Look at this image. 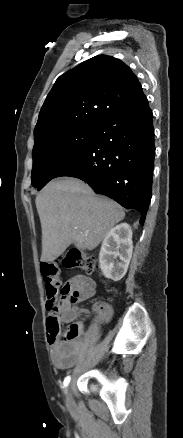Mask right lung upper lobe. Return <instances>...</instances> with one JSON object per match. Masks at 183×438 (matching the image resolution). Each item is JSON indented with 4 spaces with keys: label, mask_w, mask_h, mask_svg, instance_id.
Segmentation results:
<instances>
[{
    "label": "right lung upper lobe",
    "mask_w": 183,
    "mask_h": 438,
    "mask_svg": "<svg viewBox=\"0 0 183 438\" xmlns=\"http://www.w3.org/2000/svg\"><path fill=\"white\" fill-rule=\"evenodd\" d=\"M145 97L127 65L111 56H95L56 80L39 113L34 140L60 129L97 126Z\"/></svg>",
    "instance_id": "right-lung-upper-lobe-1"
}]
</instances>
